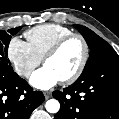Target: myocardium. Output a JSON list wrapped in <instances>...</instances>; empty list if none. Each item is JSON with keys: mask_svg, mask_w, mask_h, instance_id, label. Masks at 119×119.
<instances>
[{"mask_svg": "<svg viewBox=\"0 0 119 119\" xmlns=\"http://www.w3.org/2000/svg\"><path fill=\"white\" fill-rule=\"evenodd\" d=\"M73 39H78L80 40V42L82 43L83 46V57L82 60L78 66V68L67 78L60 80L62 84H71L73 82H75L83 73L88 60H89V54H90V49H89V45L86 41V39L78 33H72L70 35H67L63 38H61L57 43H55L45 54V56L43 57V64L46 63L47 60H49L50 58L56 56L61 49L71 40Z\"/></svg>", "mask_w": 119, "mask_h": 119, "instance_id": "f54148a6", "label": "myocardium"}]
</instances>
